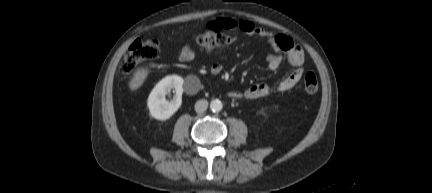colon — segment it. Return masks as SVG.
<instances>
[{"instance_id": "1", "label": "colon", "mask_w": 432, "mask_h": 193, "mask_svg": "<svg viewBox=\"0 0 432 193\" xmlns=\"http://www.w3.org/2000/svg\"><path fill=\"white\" fill-rule=\"evenodd\" d=\"M195 41L203 49L214 51L227 41V37L221 26L210 23L200 34L195 36ZM159 50L160 44L157 40L145 38L135 40L125 52L119 64L120 73L123 75L130 74L140 62L154 59ZM303 85L307 93H315L318 90L316 75L313 72L306 73Z\"/></svg>"}]
</instances>
